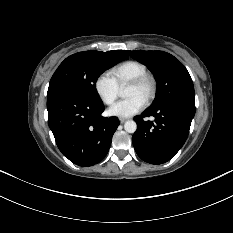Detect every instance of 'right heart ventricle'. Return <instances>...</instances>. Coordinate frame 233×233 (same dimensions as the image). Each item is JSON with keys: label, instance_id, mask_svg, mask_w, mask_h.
<instances>
[{"label": "right heart ventricle", "instance_id": "right-heart-ventricle-1", "mask_svg": "<svg viewBox=\"0 0 233 233\" xmlns=\"http://www.w3.org/2000/svg\"><path fill=\"white\" fill-rule=\"evenodd\" d=\"M148 70L145 64L135 60H129L113 67L110 71L118 87L127 84L134 78L147 74Z\"/></svg>", "mask_w": 233, "mask_h": 233}]
</instances>
